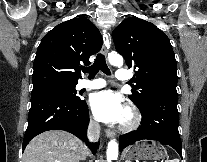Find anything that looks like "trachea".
Segmentation results:
<instances>
[{"instance_id": "obj_1", "label": "trachea", "mask_w": 207, "mask_h": 162, "mask_svg": "<svg viewBox=\"0 0 207 162\" xmlns=\"http://www.w3.org/2000/svg\"><path fill=\"white\" fill-rule=\"evenodd\" d=\"M99 70L103 71L107 75H110V70L107 67L105 56L102 54H98L93 65L84 68L83 72L89 73V79H93Z\"/></svg>"}]
</instances>
